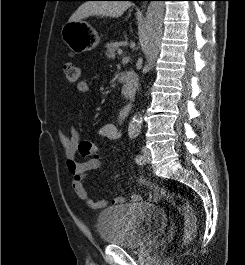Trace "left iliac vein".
<instances>
[{
    "label": "left iliac vein",
    "instance_id": "obj_1",
    "mask_svg": "<svg viewBox=\"0 0 245 265\" xmlns=\"http://www.w3.org/2000/svg\"><path fill=\"white\" fill-rule=\"evenodd\" d=\"M142 157H143V163H147L150 161L151 152L147 147L142 148Z\"/></svg>",
    "mask_w": 245,
    "mask_h": 265
}]
</instances>
